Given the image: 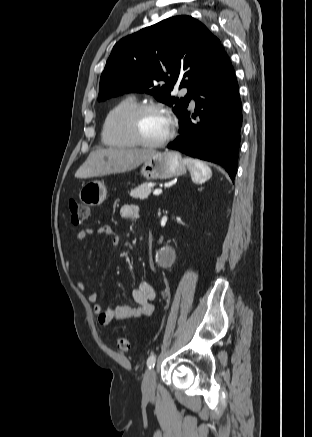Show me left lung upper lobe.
Here are the masks:
<instances>
[{"mask_svg":"<svg viewBox=\"0 0 312 437\" xmlns=\"http://www.w3.org/2000/svg\"><path fill=\"white\" fill-rule=\"evenodd\" d=\"M224 53L220 41L196 19H165L115 44L101 75L98 101L145 92L174 106L180 118ZM175 85L188 88L184 98L170 95Z\"/></svg>","mask_w":312,"mask_h":437,"instance_id":"1","label":"left lung upper lobe"}]
</instances>
